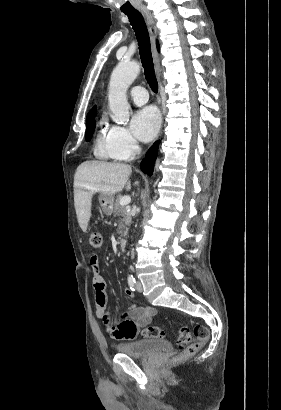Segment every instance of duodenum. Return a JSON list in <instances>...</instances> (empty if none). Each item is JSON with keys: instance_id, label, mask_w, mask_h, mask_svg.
Segmentation results:
<instances>
[{"instance_id": "1", "label": "duodenum", "mask_w": 281, "mask_h": 410, "mask_svg": "<svg viewBox=\"0 0 281 410\" xmlns=\"http://www.w3.org/2000/svg\"><path fill=\"white\" fill-rule=\"evenodd\" d=\"M120 250L124 251L127 246V240L126 239H121L118 243Z\"/></svg>"}]
</instances>
